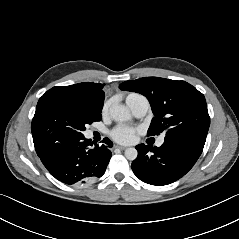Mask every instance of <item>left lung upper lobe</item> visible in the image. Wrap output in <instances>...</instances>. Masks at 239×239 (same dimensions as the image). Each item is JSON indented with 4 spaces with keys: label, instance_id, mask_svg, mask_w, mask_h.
<instances>
[{
    "label": "left lung upper lobe",
    "instance_id": "1",
    "mask_svg": "<svg viewBox=\"0 0 239 239\" xmlns=\"http://www.w3.org/2000/svg\"><path fill=\"white\" fill-rule=\"evenodd\" d=\"M121 90L146 96L154 118L148 136L165 132V137L205 144L210 117L204 95L185 81L144 77L121 83Z\"/></svg>",
    "mask_w": 239,
    "mask_h": 239
}]
</instances>
